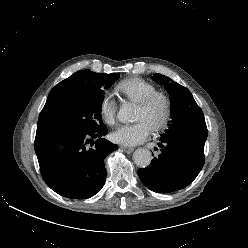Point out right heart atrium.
<instances>
[{"instance_id": "d8ad5b80", "label": "right heart atrium", "mask_w": 248, "mask_h": 248, "mask_svg": "<svg viewBox=\"0 0 248 248\" xmlns=\"http://www.w3.org/2000/svg\"><path fill=\"white\" fill-rule=\"evenodd\" d=\"M117 104L114 98L109 95H103L99 104V113L103 121L108 125H114L116 121Z\"/></svg>"}]
</instances>
